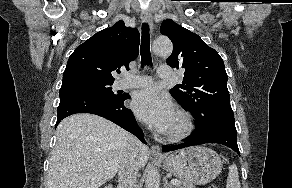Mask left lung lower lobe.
<instances>
[{"instance_id": "obj_1", "label": "left lung lower lobe", "mask_w": 292, "mask_h": 188, "mask_svg": "<svg viewBox=\"0 0 292 188\" xmlns=\"http://www.w3.org/2000/svg\"><path fill=\"white\" fill-rule=\"evenodd\" d=\"M206 143L222 144L239 154L233 113H224L213 117L205 125L196 128L192 137L186 142L173 146H164L163 151L168 152Z\"/></svg>"}]
</instances>
